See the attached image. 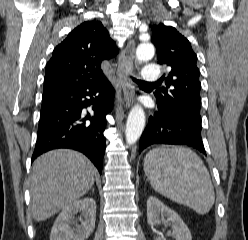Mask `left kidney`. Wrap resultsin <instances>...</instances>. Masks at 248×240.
I'll return each instance as SVG.
<instances>
[{
    "instance_id": "1",
    "label": "left kidney",
    "mask_w": 248,
    "mask_h": 240,
    "mask_svg": "<svg viewBox=\"0 0 248 240\" xmlns=\"http://www.w3.org/2000/svg\"><path fill=\"white\" fill-rule=\"evenodd\" d=\"M161 215V218H160ZM166 218L172 223V234L176 240H192L191 233L181 217L172 209L164 205L156 197H149L147 200V222L149 225H157ZM156 240H165L157 237Z\"/></svg>"
}]
</instances>
